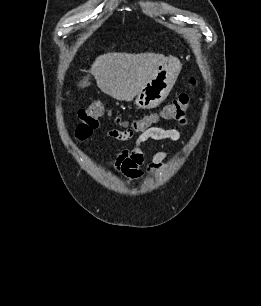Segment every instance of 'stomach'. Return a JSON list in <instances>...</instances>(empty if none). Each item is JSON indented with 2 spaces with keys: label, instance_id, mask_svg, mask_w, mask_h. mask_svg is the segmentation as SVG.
<instances>
[{
  "label": "stomach",
  "instance_id": "obj_1",
  "mask_svg": "<svg viewBox=\"0 0 261 306\" xmlns=\"http://www.w3.org/2000/svg\"><path fill=\"white\" fill-rule=\"evenodd\" d=\"M181 68L182 65L178 59L166 58L137 94L136 106L140 109H151L158 106L170 93Z\"/></svg>",
  "mask_w": 261,
  "mask_h": 306
}]
</instances>
